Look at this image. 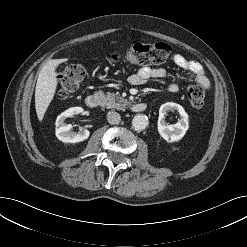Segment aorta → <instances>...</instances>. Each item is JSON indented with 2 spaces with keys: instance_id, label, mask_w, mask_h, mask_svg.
Returning a JSON list of instances; mask_svg holds the SVG:
<instances>
[{
  "instance_id": "762f6f07",
  "label": "aorta",
  "mask_w": 247,
  "mask_h": 247,
  "mask_svg": "<svg viewBox=\"0 0 247 247\" xmlns=\"http://www.w3.org/2000/svg\"><path fill=\"white\" fill-rule=\"evenodd\" d=\"M148 126V118L143 114L135 115L132 119V127L135 130L142 131Z\"/></svg>"
}]
</instances>
